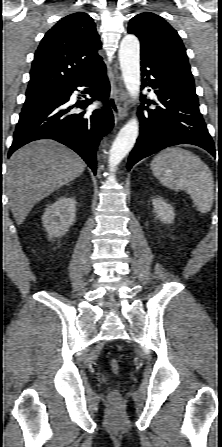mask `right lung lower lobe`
I'll list each match as a JSON object with an SVG mask.
<instances>
[{
	"mask_svg": "<svg viewBox=\"0 0 222 447\" xmlns=\"http://www.w3.org/2000/svg\"><path fill=\"white\" fill-rule=\"evenodd\" d=\"M86 87L93 99L70 105L69 98L76 87ZM110 85L102 63L89 75L75 83L55 99L37 107L22 110L8 157L21 146L38 139L56 140L77 152L96 174V151L100 140L110 132L114 119L108 103ZM94 100L104 102L102 109L91 114L74 113L75 107L85 109Z\"/></svg>",
	"mask_w": 222,
	"mask_h": 447,
	"instance_id": "right-lung-lower-lobe-1",
	"label": "right lung lower lobe"
}]
</instances>
